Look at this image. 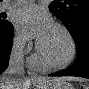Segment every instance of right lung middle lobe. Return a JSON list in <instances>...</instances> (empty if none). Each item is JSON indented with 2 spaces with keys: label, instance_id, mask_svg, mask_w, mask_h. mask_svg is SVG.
I'll return each mask as SVG.
<instances>
[{
  "label": "right lung middle lobe",
  "instance_id": "dd1d6c3e",
  "mask_svg": "<svg viewBox=\"0 0 89 89\" xmlns=\"http://www.w3.org/2000/svg\"><path fill=\"white\" fill-rule=\"evenodd\" d=\"M0 17H2V16H0ZM10 25H11L10 22H8V21H6L4 19H1L0 20V31L4 30L5 28H7Z\"/></svg>",
  "mask_w": 89,
  "mask_h": 89
}]
</instances>
